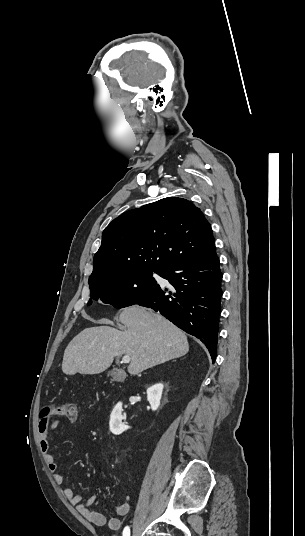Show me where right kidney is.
<instances>
[{"label":"right kidney","mask_w":305,"mask_h":536,"mask_svg":"<svg viewBox=\"0 0 305 536\" xmlns=\"http://www.w3.org/2000/svg\"><path fill=\"white\" fill-rule=\"evenodd\" d=\"M163 384H155V386H151V388H148L147 390V400L152 408V410H158L160 406V400L162 398V392H163ZM122 404L119 402V404H116L115 408H113V412H111L110 416V432L112 434H122L124 430H127L128 426H125L123 424V416H122Z\"/></svg>","instance_id":"right-kidney-1"}]
</instances>
